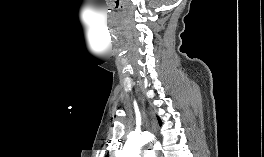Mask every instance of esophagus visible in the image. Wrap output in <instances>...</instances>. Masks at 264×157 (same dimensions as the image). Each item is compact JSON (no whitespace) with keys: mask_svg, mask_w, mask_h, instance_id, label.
<instances>
[{"mask_svg":"<svg viewBox=\"0 0 264 157\" xmlns=\"http://www.w3.org/2000/svg\"><path fill=\"white\" fill-rule=\"evenodd\" d=\"M157 157H160L159 152L157 151Z\"/></svg>","mask_w":264,"mask_h":157,"instance_id":"obj_1","label":"esophagus"}]
</instances>
